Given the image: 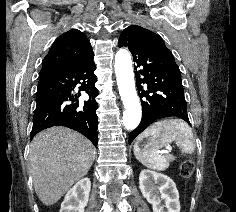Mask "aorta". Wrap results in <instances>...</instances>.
<instances>
[{
  "label": "aorta",
  "mask_w": 236,
  "mask_h": 212,
  "mask_svg": "<svg viewBox=\"0 0 236 212\" xmlns=\"http://www.w3.org/2000/svg\"><path fill=\"white\" fill-rule=\"evenodd\" d=\"M115 73L121 99L124 104L123 124L128 130L135 129L141 121V104L136 92L132 60L126 49L115 55Z\"/></svg>",
  "instance_id": "1"
}]
</instances>
